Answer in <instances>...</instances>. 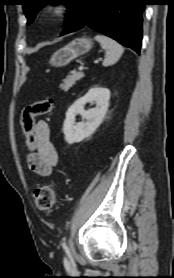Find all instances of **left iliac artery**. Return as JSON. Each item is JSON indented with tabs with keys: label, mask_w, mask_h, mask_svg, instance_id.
<instances>
[{
	"label": "left iliac artery",
	"mask_w": 174,
	"mask_h": 278,
	"mask_svg": "<svg viewBox=\"0 0 174 278\" xmlns=\"http://www.w3.org/2000/svg\"><path fill=\"white\" fill-rule=\"evenodd\" d=\"M62 247H63L64 249L67 248V245H66V242H65V241L62 243Z\"/></svg>",
	"instance_id": "left-iliac-artery-1"
}]
</instances>
